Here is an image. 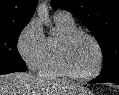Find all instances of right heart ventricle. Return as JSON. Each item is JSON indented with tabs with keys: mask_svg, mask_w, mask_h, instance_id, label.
Segmentation results:
<instances>
[{
	"mask_svg": "<svg viewBox=\"0 0 119 95\" xmlns=\"http://www.w3.org/2000/svg\"><path fill=\"white\" fill-rule=\"evenodd\" d=\"M55 23L59 29L60 34L58 36H52L47 38L44 59L39 69L40 73L43 76L48 77L65 76V73L61 70L58 63V44L62 35L76 29L74 22H64L55 19Z\"/></svg>",
	"mask_w": 119,
	"mask_h": 95,
	"instance_id": "right-heart-ventricle-1",
	"label": "right heart ventricle"
}]
</instances>
